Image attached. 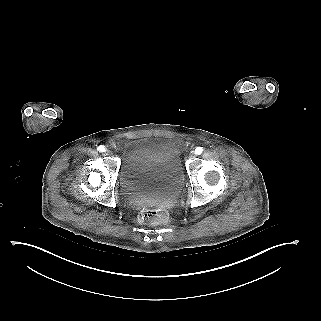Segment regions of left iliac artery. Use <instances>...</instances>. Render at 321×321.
<instances>
[{
    "instance_id": "1",
    "label": "left iliac artery",
    "mask_w": 321,
    "mask_h": 321,
    "mask_svg": "<svg viewBox=\"0 0 321 321\" xmlns=\"http://www.w3.org/2000/svg\"><path fill=\"white\" fill-rule=\"evenodd\" d=\"M202 151H203V148H202V147H197V148L195 149V153L198 154V155L201 154Z\"/></svg>"
}]
</instances>
